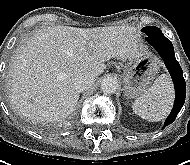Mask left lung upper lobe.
<instances>
[{"label": "left lung upper lobe", "instance_id": "1", "mask_svg": "<svg viewBox=\"0 0 190 165\" xmlns=\"http://www.w3.org/2000/svg\"><path fill=\"white\" fill-rule=\"evenodd\" d=\"M141 31L147 35L146 40H149L158 35H163L162 31L154 26L144 27Z\"/></svg>", "mask_w": 190, "mask_h": 165}]
</instances>
